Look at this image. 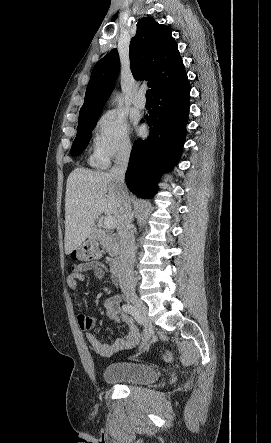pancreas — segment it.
<instances>
[{"instance_id": "1", "label": "pancreas", "mask_w": 271, "mask_h": 443, "mask_svg": "<svg viewBox=\"0 0 271 443\" xmlns=\"http://www.w3.org/2000/svg\"><path fill=\"white\" fill-rule=\"evenodd\" d=\"M98 239L103 247V249H107L108 253H110L111 257H114L115 253H117V241L113 235H98Z\"/></svg>"}]
</instances>
